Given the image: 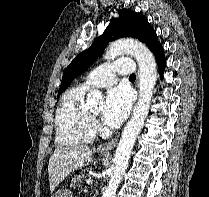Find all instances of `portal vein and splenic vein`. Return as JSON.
Segmentation results:
<instances>
[{"label":"portal vein and splenic vein","mask_w":209,"mask_h":197,"mask_svg":"<svg viewBox=\"0 0 209 197\" xmlns=\"http://www.w3.org/2000/svg\"><path fill=\"white\" fill-rule=\"evenodd\" d=\"M92 182H93V181H92L91 179H89V180L87 181V184H88V185H91Z\"/></svg>","instance_id":"obj_1"}]
</instances>
